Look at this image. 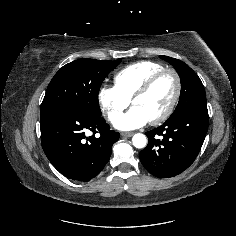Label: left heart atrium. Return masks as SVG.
I'll use <instances>...</instances> for the list:
<instances>
[{"instance_id":"left-heart-atrium-1","label":"left heart atrium","mask_w":236,"mask_h":236,"mask_svg":"<svg viewBox=\"0 0 236 236\" xmlns=\"http://www.w3.org/2000/svg\"><path fill=\"white\" fill-rule=\"evenodd\" d=\"M149 122L147 116L137 107H132L128 112L119 114L113 119V125L122 131L134 130Z\"/></svg>"}]
</instances>
